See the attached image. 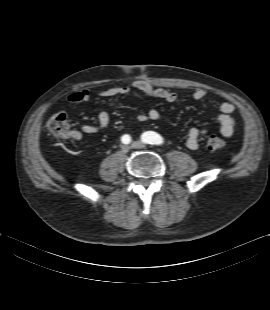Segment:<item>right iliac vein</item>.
Returning a JSON list of instances; mask_svg holds the SVG:
<instances>
[{
    "label": "right iliac vein",
    "mask_w": 270,
    "mask_h": 310,
    "mask_svg": "<svg viewBox=\"0 0 270 310\" xmlns=\"http://www.w3.org/2000/svg\"><path fill=\"white\" fill-rule=\"evenodd\" d=\"M129 146H127V145H123L122 147H121V151L123 152V153H127L128 151H129Z\"/></svg>",
    "instance_id": "63e3f726"
}]
</instances>
